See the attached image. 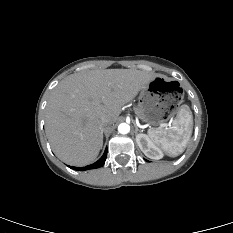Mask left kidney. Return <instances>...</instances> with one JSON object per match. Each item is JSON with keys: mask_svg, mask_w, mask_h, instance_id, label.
<instances>
[{"mask_svg": "<svg viewBox=\"0 0 233 233\" xmlns=\"http://www.w3.org/2000/svg\"><path fill=\"white\" fill-rule=\"evenodd\" d=\"M136 142L141 151L151 159H161L162 151L153 143V141L145 134L136 135Z\"/></svg>", "mask_w": 233, "mask_h": 233, "instance_id": "5707ae66", "label": "left kidney"}]
</instances>
